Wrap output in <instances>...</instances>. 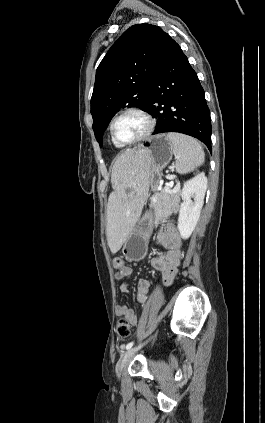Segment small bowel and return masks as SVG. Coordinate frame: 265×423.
<instances>
[{
  "instance_id": "small-bowel-1",
  "label": "small bowel",
  "mask_w": 265,
  "mask_h": 423,
  "mask_svg": "<svg viewBox=\"0 0 265 423\" xmlns=\"http://www.w3.org/2000/svg\"><path fill=\"white\" fill-rule=\"evenodd\" d=\"M157 240L166 249L162 254H158L151 259V266L153 269L161 272L162 281L165 286L172 284L183 258V251L181 249L182 240L179 232L173 224L166 223L157 232ZM132 274V269L128 266L123 267L121 271H116L115 278L121 282L120 291L122 293L129 292L128 278ZM150 292V282L148 279H140L137 283L136 298L141 304H145L148 300ZM115 314L119 317H125L132 326L137 325L138 315L135 311L125 305H117L115 307Z\"/></svg>"
}]
</instances>
